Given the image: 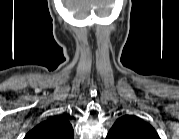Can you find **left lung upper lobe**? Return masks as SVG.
<instances>
[{"instance_id":"5c2ea615","label":"left lung upper lobe","mask_w":179,"mask_h":139,"mask_svg":"<svg viewBox=\"0 0 179 139\" xmlns=\"http://www.w3.org/2000/svg\"><path fill=\"white\" fill-rule=\"evenodd\" d=\"M108 139H159L155 129L143 121L133 116L125 115L120 117L110 129Z\"/></svg>"}]
</instances>
